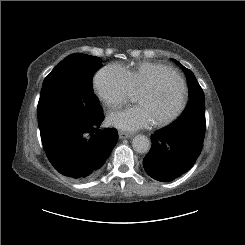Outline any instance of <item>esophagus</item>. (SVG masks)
<instances>
[{
    "label": "esophagus",
    "instance_id": "obj_1",
    "mask_svg": "<svg viewBox=\"0 0 245 245\" xmlns=\"http://www.w3.org/2000/svg\"><path fill=\"white\" fill-rule=\"evenodd\" d=\"M118 134L120 139L130 138L133 136L131 133H127L123 131H120Z\"/></svg>",
    "mask_w": 245,
    "mask_h": 245
}]
</instances>
